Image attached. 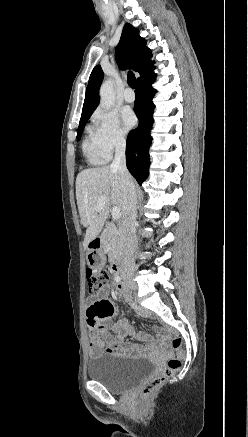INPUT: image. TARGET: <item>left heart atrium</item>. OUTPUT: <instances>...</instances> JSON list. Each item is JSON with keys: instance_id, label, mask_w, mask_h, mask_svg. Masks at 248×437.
Wrapping results in <instances>:
<instances>
[{"instance_id": "left-heart-atrium-1", "label": "left heart atrium", "mask_w": 248, "mask_h": 437, "mask_svg": "<svg viewBox=\"0 0 248 437\" xmlns=\"http://www.w3.org/2000/svg\"><path fill=\"white\" fill-rule=\"evenodd\" d=\"M121 117L126 130L131 129L136 124V117L134 113L128 108L122 111Z\"/></svg>"}]
</instances>
